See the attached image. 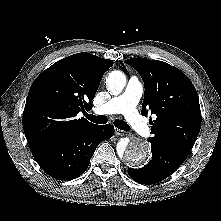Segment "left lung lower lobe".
Segmentation results:
<instances>
[{"mask_svg": "<svg viewBox=\"0 0 221 221\" xmlns=\"http://www.w3.org/2000/svg\"><path fill=\"white\" fill-rule=\"evenodd\" d=\"M151 143L152 158L141 169L128 168L130 177L141 184H155L167 178L186 160L187 155L159 142Z\"/></svg>", "mask_w": 221, "mask_h": 221, "instance_id": "0a47b994", "label": "left lung lower lobe"}]
</instances>
